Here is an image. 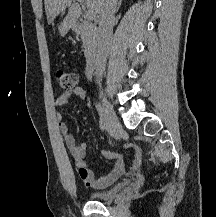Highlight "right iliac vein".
Wrapping results in <instances>:
<instances>
[{"instance_id": "1", "label": "right iliac vein", "mask_w": 216, "mask_h": 217, "mask_svg": "<svg viewBox=\"0 0 216 217\" xmlns=\"http://www.w3.org/2000/svg\"><path fill=\"white\" fill-rule=\"evenodd\" d=\"M100 97L102 98L103 109L106 115L108 127L114 135H117L121 131V128H122L120 121L118 120L114 112L113 106L107 100V98L102 92L100 93Z\"/></svg>"}]
</instances>
